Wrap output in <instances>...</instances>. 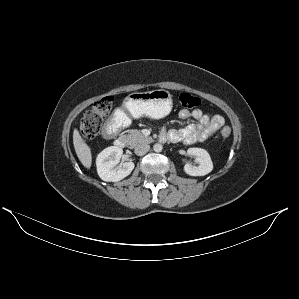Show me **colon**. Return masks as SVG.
<instances>
[{"instance_id": "5ec220e1", "label": "colon", "mask_w": 299, "mask_h": 299, "mask_svg": "<svg viewBox=\"0 0 299 299\" xmlns=\"http://www.w3.org/2000/svg\"><path fill=\"white\" fill-rule=\"evenodd\" d=\"M178 101L180 106L185 109H192L200 105V99L189 93H181ZM112 106V97L106 96L96 101L92 107L84 113L80 123V133L85 140L90 141L98 135L104 118L111 113ZM230 134L231 129L229 126H224L221 129V135L224 138L229 137Z\"/></svg>"}]
</instances>
